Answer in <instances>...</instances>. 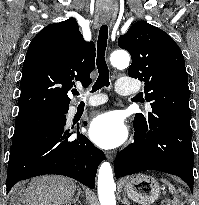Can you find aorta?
Returning a JSON list of instances; mask_svg holds the SVG:
<instances>
[{
  "label": "aorta",
  "instance_id": "obj_1",
  "mask_svg": "<svg viewBox=\"0 0 199 205\" xmlns=\"http://www.w3.org/2000/svg\"><path fill=\"white\" fill-rule=\"evenodd\" d=\"M111 64L117 68H126L130 56L127 51L117 50L111 54ZM116 185L113 179L112 167L109 162H103L98 172V196L100 205H116L114 191Z\"/></svg>",
  "mask_w": 199,
  "mask_h": 205
}]
</instances>
